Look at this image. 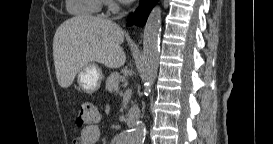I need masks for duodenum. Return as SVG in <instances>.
<instances>
[{
    "label": "duodenum",
    "instance_id": "duodenum-1",
    "mask_svg": "<svg viewBox=\"0 0 273 144\" xmlns=\"http://www.w3.org/2000/svg\"><path fill=\"white\" fill-rule=\"evenodd\" d=\"M139 119V112L137 109L130 107L125 115V123L127 126H133L136 125L137 121Z\"/></svg>",
    "mask_w": 273,
    "mask_h": 144
}]
</instances>
